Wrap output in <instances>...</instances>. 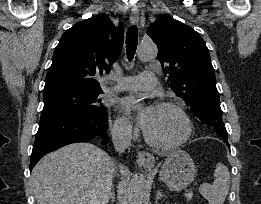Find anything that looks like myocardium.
Here are the masks:
<instances>
[{"label": "myocardium", "instance_id": "f54148a6", "mask_svg": "<svg viewBox=\"0 0 261 204\" xmlns=\"http://www.w3.org/2000/svg\"><path fill=\"white\" fill-rule=\"evenodd\" d=\"M154 107L171 108V109H174L175 111H177L184 121L185 132H184V135L178 141L165 144V143H160V142L154 140L148 134V132L144 129L143 135H144L145 141L152 147L161 149V150H173V149H176V148L182 146L183 144H185L192 135L193 124H192V121H191L189 115L184 110V108L181 105H179L178 103H175L173 101H159V102L155 103Z\"/></svg>", "mask_w": 261, "mask_h": 204}]
</instances>
